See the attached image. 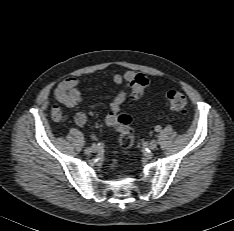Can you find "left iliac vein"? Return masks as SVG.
Here are the masks:
<instances>
[{"label": "left iliac vein", "instance_id": "left-iliac-vein-1", "mask_svg": "<svg viewBox=\"0 0 234 231\" xmlns=\"http://www.w3.org/2000/svg\"><path fill=\"white\" fill-rule=\"evenodd\" d=\"M149 149H151V150H155L156 148H157V141L156 140H151L150 142H149Z\"/></svg>", "mask_w": 234, "mask_h": 231}]
</instances>
